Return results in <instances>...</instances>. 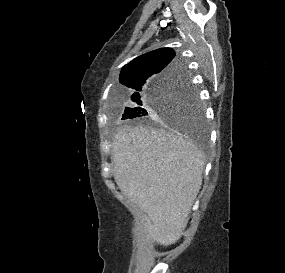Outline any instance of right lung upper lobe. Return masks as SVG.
<instances>
[{"mask_svg":"<svg viewBox=\"0 0 285 273\" xmlns=\"http://www.w3.org/2000/svg\"><path fill=\"white\" fill-rule=\"evenodd\" d=\"M180 69V62L171 48L145 53L126 64L120 74V83L134 91L131 98L142 94L155 80Z\"/></svg>","mask_w":285,"mask_h":273,"instance_id":"right-lung-upper-lobe-1","label":"right lung upper lobe"}]
</instances>
